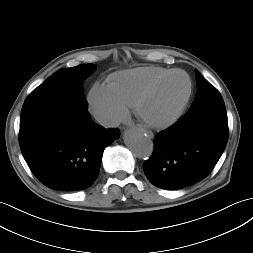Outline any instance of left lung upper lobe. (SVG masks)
<instances>
[{"mask_svg": "<svg viewBox=\"0 0 253 253\" xmlns=\"http://www.w3.org/2000/svg\"><path fill=\"white\" fill-rule=\"evenodd\" d=\"M196 73L198 92L190 109L183 117L196 118L211 112L226 111L224 101L219 91L214 86L207 83L198 71Z\"/></svg>", "mask_w": 253, "mask_h": 253, "instance_id": "1", "label": "left lung upper lobe"}]
</instances>
